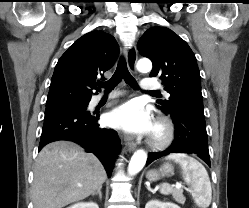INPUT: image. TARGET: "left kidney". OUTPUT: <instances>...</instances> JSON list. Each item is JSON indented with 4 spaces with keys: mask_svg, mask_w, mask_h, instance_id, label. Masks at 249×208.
<instances>
[{
    "mask_svg": "<svg viewBox=\"0 0 249 208\" xmlns=\"http://www.w3.org/2000/svg\"><path fill=\"white\" fill-rule=\"evenodd\" d=\"M145 208H180V207L171 202H161L158 200H151L148 203H146Z\"/></svg>",
    "mask_w": 249,
    "mask_h": 208,
    "instance_id": "obj_1",
    "label": "left kidney"
}]
</instances>
